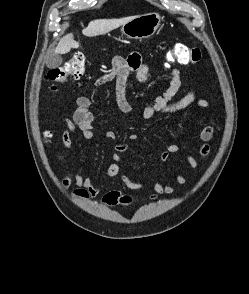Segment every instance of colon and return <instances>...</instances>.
Listing matches in <instances>:
<instances>
[{
  "instance_id": "colon-1",
  "label": "colon",
  "mask_w": 249,
  "mask_h": 294,
  "mask_svg": "<svg viewBox=\"0 0 249 294\" xmlns=\"http://www.w3.org/2000/svg\"><path fill=\"white\" fill-rule=\"evenodd\" d=\"M167 60L180 65L196 64L201 59V51L197 47H190L183 44H176L169 47ZM127 69L126 58L116 57L112 61V73H122ZM85 73V55L76 52L62 66L50 70L46 75V80L51 83V89H55L57 83H63L68 79L79 81ZM46 137H50V132H46ZM127 197H121L120 201H127Z\"/></svg>"
}]
</instances>
